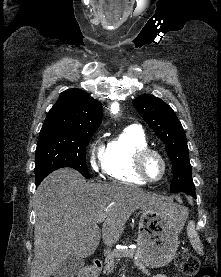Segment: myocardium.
I'll return each mask as SVG.
<instances>
[{"instance_id": "1", "label": "myocardium", "mask_w": 221, "mask_h": 277, "mask_svg": "<svg viewBox=\"0 0 221 277\" xmlns=\"http://www.w3.org/2000/svg\"><path fill=\"white\" fill-rule=\"evenodd\" d=\"M150 156H156L162 166V172L161 175L159 176V178L157 179H151L147 176L146 172H145V162L148 159V157ZM134 169L135 172L137 173V175L144 181L147 183H156L159 182L163 179V177L166 174L167 171V163L166 160L164 158V156L156 149L151 148V147H146L143 148L141 150H139L134 158Z\"/></svg>"}]
</instances>
